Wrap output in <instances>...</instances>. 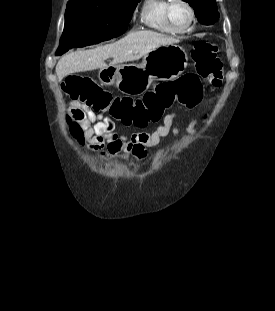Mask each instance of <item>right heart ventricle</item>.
Wrapping results in <instances>:
<instances>
[{
    "mask_svg": "<svg viewBox=\"0 0 275 311\" xmlns=\"http://www.w3.org/2000/svg\"><path fill=\"white\" fill-rule=\"evenodd\" d=\"M168 3L169 0H144L139 14L141 23L159 33H178L168 25L165 19V8Z\"/></svg>",
    "mask_w": 275,
    "mask_h": 311,
    "instance_id": "obj_1",
    "label": "right heart ventricle"
}]
</instances>
